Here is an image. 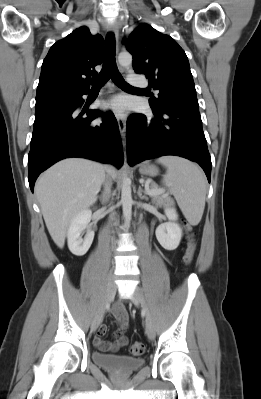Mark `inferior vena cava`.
Here are the masks:
<instances>
[{"mask_svg": "<svg viewBox=\"0 0 261 399\" xmlns=\"http://www.w3.org/2000/svg\"><path fill=\"white\" fill-rule=\"evenodd\" d=\"M104 185H105V192L104 193L107 194V200L106 201H108V199L110 197L111 185H112L111 180L108 177L106 178V180L104 182Z\"/></svg>", "mask_w": 261, "mask_h": 399, "instance_id": "obj_1", "label": "inferior vena cava"}]
</instances>
